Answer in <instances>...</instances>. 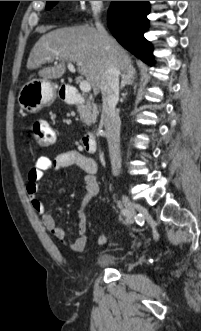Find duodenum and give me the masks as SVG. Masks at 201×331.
<instances>
[{
    "label": "duodenum",
    "instance_id": "1",
    "mask_svg": "<svg viewBox=\"0 0 201 331\" xmlns=\"http://www.w3.org/2000/svg\"><path fill=\"white\" fill-rule=\"evenodd\" d=\"M59 97L69 104H79L82 102L78 90L71 85H64L59 89ZM83 148L90 153L97 150V140L92 132L86 133L81 140Z\"/></svg>",
    "mask_w": 201,
    "mask_h": 331
}]
</instances>
